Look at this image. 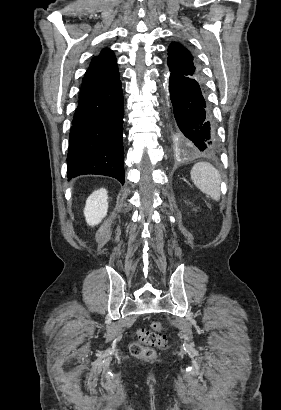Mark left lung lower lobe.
<instances>
[{"instance_id": "1", "label": "left lung lower lobe", "mask_w": 281, "mask_h": 410, "mask_svg": "<svg viewBox=\"0 0 281 410\" xmlns=\"http://www.w3.org/2000/svg\"><path fill=\"white\" fill-rule=\"evenodd\" d=\"M165 76L178 141L195 151H215L218 147L215 124L204 97L202 79L169 72Z\"/></svg>"}]
</instances>
